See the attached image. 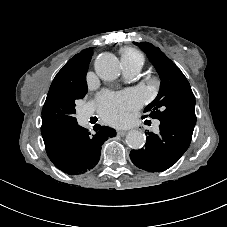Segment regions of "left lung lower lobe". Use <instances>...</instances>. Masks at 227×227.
I'll return each mask as SVG.
<instances>
[{
    "label": "left lung lower lobe",
    "mask_w": 227,
    "mask_h": 227,
    "mask_svg": "<svg viewBox=\"0 0 227 227\" xmlns=\"http://www.w3.org/2000/svg\"><path fill=\"white\" fill-rule=\"evenodd\" d=\"M194 126L177 119H161L160 133H146L145 147L130 152L132 162L140 169L150 172L167 170L188 149Z\"/></svg>",
    "instance_id": "obj_1"
}]
</instances>
